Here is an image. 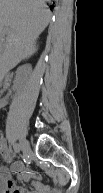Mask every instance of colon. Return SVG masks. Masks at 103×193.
<instances>
[{
  "mask_svg": "<svg viewBox=\"0 0 103 193\" xmlns=\"http://www.w3.org/2000/svg\"><path fill=\"white\" fill-rule=\"evenodd\" d=\"M14 193H24V192L21 189H16V191Z\"/></svg>",
  "mask_w": 103,
  "mask_h": 193,
  "instance_id": "obj_1",
  "label": "colon"
}]
</instances>
